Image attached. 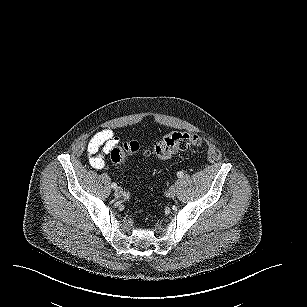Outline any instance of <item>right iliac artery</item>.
Here are the masks:
<instances>
[{"instance_id": "right-iliac-artery-1", "label": "right iliac artery", "mask_w": 307, "mask_h": 307, "mask_svg": "<svg viewBox=\"0 0 307 307\" xmlns=\"http://www.w3.org/2000/svg\"><path fill=\"white\" fill-rule=\"evenodd\" d=\"M111 187H112L113 189H116V188H117V184H116V183H112V184H111Z\"/></svg>"}]
</instances>
